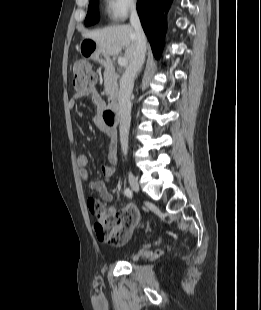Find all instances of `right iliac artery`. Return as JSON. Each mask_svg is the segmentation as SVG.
Wrapping results in <instances>:
<instances>
[{"instance_id": "1", "label": "right iliac artery", "mask_w": 261, "mask_h": 310, "mask_svg": "<svg viewBox=\"0 0 261 310\" xmlns=\"http://www.w3.org/2000/svg\"><path fill=\"white\" fill-rule=\"evenodd\" d=\"M124 194L129 198H132L133 196V193L129 188L124 189Z\"/></svg>"}]
</instances>
